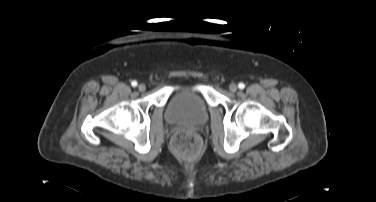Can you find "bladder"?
Here are the masks:
<instances>
[{
  "label": "bladder",
  "mask_w": 376,
  "mask_h": 202,
  "mask_svg": "<svg viewBox=\"0 0 376 202\" xmlns=\"http://www.w3.org/2000/svg\"><path fill=\"white\" fill-rule=\"evenodd\" d=\"M165 116L171 123L191 127L200 126L208 119V105L198 91L179 90L168 99Z\"/></svg>",
  "instance_id": "1"
}]
</instances>
